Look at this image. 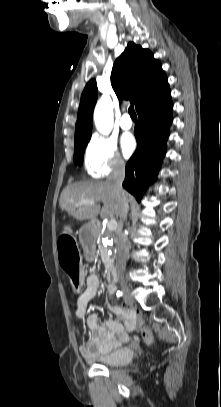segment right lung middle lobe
Wrapping results in <instances>:
<instances>
[{
	"instance_id": "dd1d6c3e",
	"label": "right lung middle lobe",
	"mask_w": 221,
	"mask_h": 407,
	"mask_svg": "<svg viewBox=\"0 0 221 407\" xmlns=\"http://www.w3.org/2000/svg\"><path fill=\"white\" fill-rule=\"evenodd\" d=\"M89 140L75 144V149H74V163L75 165L81 166L83 163V155L85 148L87 146V143Z\"/></svg>"
}]
</instances>
